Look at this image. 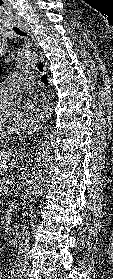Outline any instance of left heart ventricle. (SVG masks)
Wrapping results in <instances>:
<instances>
[{
    "mask_svg": "<svg viewBox=\"0 0 113 279\" xmlns=\"http://www.w3.org/2000/svg\"><path fill=\"white\" fill-rule=\"evenodd\" d=\"M21 109L18 106H13L10 111H9V115L7 118V123L8 125L15 129V130H21L22 126H21Z\"/></svg>",
    "mask_w": 113,
    "mask_h": 279,
    "instance_id": "left-heart-ventricle-1",
    "label": "left heart ventricle"
}]
</instances>
